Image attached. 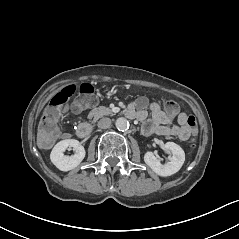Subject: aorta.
<instances>
[{"instance_id": "1", "label": "aorta", "mask_w": 239, "mask_h": 239, "mask_svg": "<svg viewBox=\"0 0 239 239\" xmlns=\"http://www.w3.org/2000/svg\"><path fill=\"white\" fill-rule=\"evenodd\" d=\"M116 128L120 131L127 130L129 122L124 117H119L115 122Z\"/></svg>"}]
</instances>
